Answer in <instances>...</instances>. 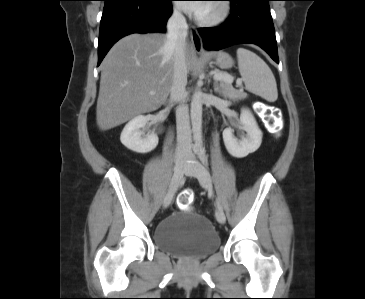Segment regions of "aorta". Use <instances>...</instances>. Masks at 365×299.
<instances>
[{"instance_id": "obj_1", "label": "aorta", "mask_w": 365, "mask_h": 299, "mask_svg": "<svg viewBox=\"0 0 365 299\" xmlns=\"http://www.w3.org/2000/svg\"><path fill=\"white\" fill-rule=\"evenodd\" d=\"M202 93L198 90L194 93L191 100V121L192 131L195 137L196 144L201 147L202 144Z\"/></svg>"}]
</instances>
